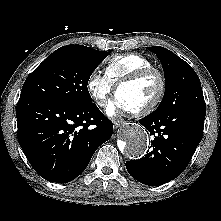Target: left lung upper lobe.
<instances>
[{
	"mask_svg": "<svg viewBox=\"0 0 221 221\" xmlns=\"http://www.w3.org/2000/svg\"><path fill=\"white\" fill-rule=\"evenodd\" d=\"M160 59L166 80L164 97L153 113L181 109L206 111L200 80L183 59L160 46L147 47Z\"/></svg>",
	"mask_w": 221,
	"mask_h": 221,
	"instance_id": "5c2ea615",
	"label": "left lung upper lobe"
}]
</instances>
